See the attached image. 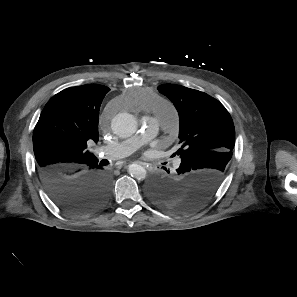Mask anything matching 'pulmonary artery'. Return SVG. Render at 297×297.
I'll return each mask as SVG.
<instances>
[{"mask_svg": "<svg viewBox=\"0 0 297 297\" xmlns=\"http://www.w3.org/2000/svg\"><path fill=\"white\" fill-rule=\"evenodd\" d=\"M177 120V113L171 104L162 105L155 116L144 119L137 133L126 140L101 146L98 152H103L110 159H119L134 153L141 145L152 139L160 129L170 128Z\"/></svg>", "mask_w": 297, "mask_h": 297, "instance_id": "pulmonary-artery-1", "label": "pulmonary artery"}]
</instances>
